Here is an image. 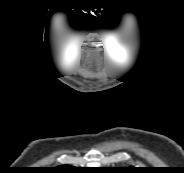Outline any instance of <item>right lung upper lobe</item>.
Masks as SVG:
<instances>
[{
    "label": "right lung upper lobe",
    "mask_w": 184,
    "mask_h": 173,
    "mask_svg": "<svg viewBox=\"0 0 184 173\" xmlns=\"http://www.w3.org/2000/svg\"><path fill=\"white\" fill-rule=\"evenodd\" d=\"M74 167L69 165H63L55 167L53 170V173H71L73 171Z\"/></svg>",
    "instance_id": "obj_1"
}]
</instances>
